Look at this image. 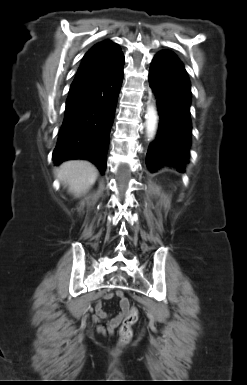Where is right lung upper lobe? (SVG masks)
<instances>
[{"mask_svg":"<svg viewBox=\"0 0 247 385\" xmlns=\"http://www.w3.org/2000/svg\"><path fill=\"white\" fill-rule=\"evenodd\" d=\"M122 63L124 56L116 43L109 40L100 42L85 54L72 84L113 71Z\"/></svg>","mask_w":247,"mask_h":385,"instance_id":"right-lung-upper-lobe-1","label":"right lung upper lobe"}]
</instances>
